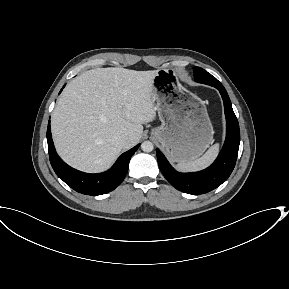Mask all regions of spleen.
Listing matches in <instances>:
<instances>
[{"label": "spleen", "instance_id": "1", "mask_svg": "<svg viewBox=\"0 0 289 289\" xmlns=\"http://www.w3.org/2000/svg\"><path fill=\"white\" fill-rule=\"evenodd\" d=\"M219 151V144H214L211 146L207 152L200 158L188 161V162H179L176 165V168L182 172H191V171H199L206 167H208L216 158Z\"/></svg>", "mask_w": 289, "mask_h": 289}]
</instances>
